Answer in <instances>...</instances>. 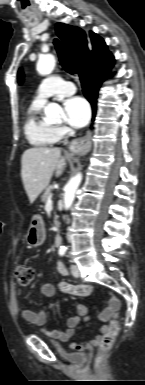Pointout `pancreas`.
I'll return each instance as SVG.
<instances>
[{"label": "pancreas", "mask_w": 145, "mask_h": 385, "mask_svg": "<svg viewBox=\"0 0 145 385\" xmlns=\"http://www.w3.org/2000/svg\"><path fill=\"white\" fill-rule=\"evenodd\" d=\"M52 189L53 187L52 186H48L44 192V194L42 195L41 199L43 202H47V200L51 197V192H52Z\"/></svg>", "instance_id": "1"}]
</instances>
